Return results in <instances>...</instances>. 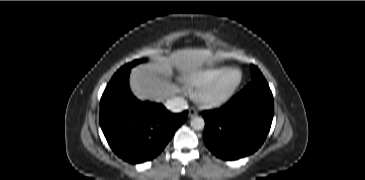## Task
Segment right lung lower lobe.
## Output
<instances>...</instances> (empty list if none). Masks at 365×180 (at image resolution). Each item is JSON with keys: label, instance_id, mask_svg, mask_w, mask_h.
<instances>
[{"label": "right lung lower lobe", "instance_id": "obj_1", "mask_svg": "<svg viewBox=\"0 0 365 180\" xmlns=\"http://www.w3.org/2000/svg\"><path fill=\"white\" fill-rule=\"evenodd\" d=\"M130 69L119 70L107 85L100 101V126L120 158L141 163L164 149L188 111L173 114L161 104L140 102L129 88Z\"/></svg>", "mask_w": 365, "mask_h": 180}]
</instances>
